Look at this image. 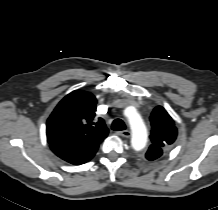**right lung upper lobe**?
<instances>
[{"label": "right lung upper lobe", "instance_id": "1", "mask_svg": "<svg viewBox=\"0 0 218 210\" xmlns=\"http://www.w3.org/2000/svg\"><path fill=\"white\" fill-rule=\"evenodd\" d=\"M97 100L89 92L75 90L65 96L47 120L50 145L78 151H97L108 135L102 118L95 115Z\"/></svg>", "mask_w": 218, "mask_h": 210}]
</instances>
